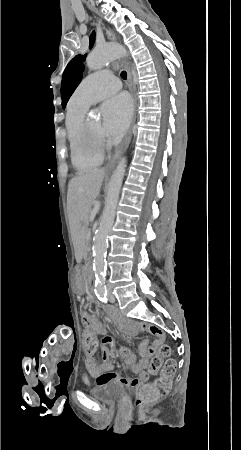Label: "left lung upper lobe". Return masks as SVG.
Returning <instances> with one entry per match:
<instances>
[{"mask_svg":"<svg viewBox=\"0 0 241 450\" xmlns=\"http://www.w3.org/2000/svg\"><path fill=\"white\" fill-rule=\"evenodd\" d=\"M95 42V33L93 32L90 36L89 48H92ZM86 55L75 56L67 65L64 70L62 83H61V98L62 107L65 108L70 96L79 85L82 79V72L84 71V61Z\"/></svg>","mask_w":241,"mask_h":450,"instance_id":"left-lung-upper-lobe-1","label":"left lung upper lobe"}]
</instances>
